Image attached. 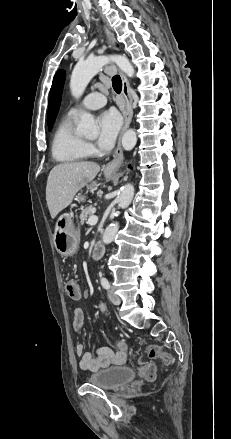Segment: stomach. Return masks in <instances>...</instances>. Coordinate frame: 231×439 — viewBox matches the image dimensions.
<instances>
[{"instance_id":"stomach-1","label":"stomach","mask_w":231,"mask_h":439,"mask_svg":"<svg viewBox=\"0 0 231 439\" xmlns=\"http://www.w3.org/2000/svg\"><path fill=\"white\" fill-rule=\"evenodd\" d=\"M106 179L110 180L116 176V172L104 171ZM76 199L84 201L85 197L81 194ZM80 241V232L74 224L72 218L67 215H61L55 225L54 245L61 256H73L77 250Z\"/></svg>"}]
</instances>
